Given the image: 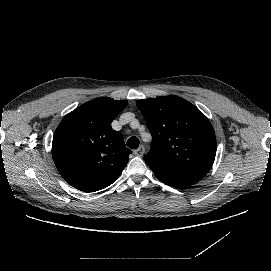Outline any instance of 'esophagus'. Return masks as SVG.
Listing matches in <instances>:
<instances>
[{
    "instance_id": "34e87169",
    "label": "esophagus",
    "mask_w": 271,
    "mask_h": 271,
    "mask_svg": "<svg viewBox=\"0 0 271 271\" xmlns=\"http://www.w3.org/2000/svg\"><path fill=\"white\" fill-rule=\"evenodd\" d=\"M144 153H145V147L143 145H141L138 149L133 151V154L137 157L143 156Z\"/></svg>"
}]
</instances>
